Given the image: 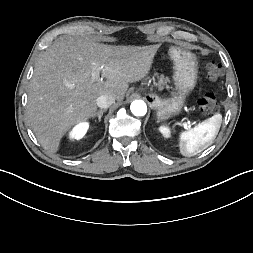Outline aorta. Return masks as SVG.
Here are the masks:
<instances>
[{
	"label": "aorta",
	"mask_w": 253,
	"mask_h": 253,
	"mask_svg": "<svg viewBox=\"0 0 253 253\" xmlns=\"http://www.w3.org/2000/svg\"><path fill=\"white\" fill-rule=\"evenodd\" d=\"M130 109L135 116H144L147 112V105L143 100H134Z\"/></svg>",
	"instance_id": "obj_1"
}]
</instances>
